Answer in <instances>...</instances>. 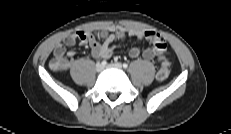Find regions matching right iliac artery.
<instances>
[{"label":"right iliac artery","mask_w":231,"mask_h":134,"mask_svg":"<svg viewBox=\"0 0 231 134\" xmlns=\"http://www.w3.org/2000/svg\"><path fill=\"white\" fill-rule=\"evenodd\" d=\"M101 64H102L103 66H106V65H107V62H106L105 60H103V61L101 62Z\"/></svg>","instance_id":"82829eb1"}]
</instances>
